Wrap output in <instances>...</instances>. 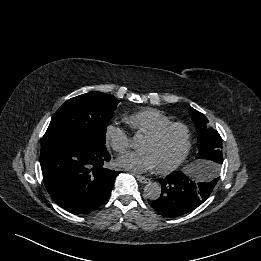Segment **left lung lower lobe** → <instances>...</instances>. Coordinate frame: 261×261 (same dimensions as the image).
<instances>
[{
  "label": "left lung lower lobe",
  "mask_w": 261,
  "mask_h": 261,
  "mask_svg": "<svg viewBox=\"0 0 261 261\" xmlns=\"http://www.w3.org/2000/svg\"><path fill=\"white\" fill-rule=\"evenodd\" d=\"M200 170L207 175L201 181H196L181 171L159 179L162 193L157 200L148 201L150 206L159 214L171 218L197 208L208 199L219 179L216 177L218 169L211 165L203 164Z\"/></svg>",
  "instance_id": "obj_1"
}]
</instances>
